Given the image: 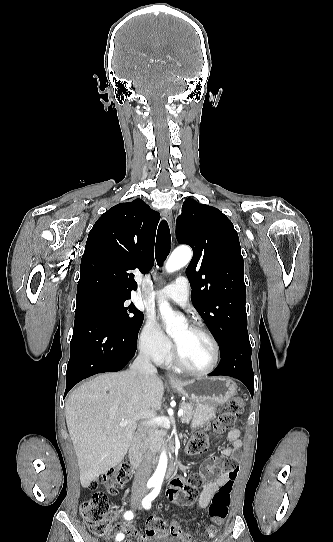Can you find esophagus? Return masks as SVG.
<instances>
[{
	"label": "esophagus",
	"instance_id": "esophagus-1",
	"mask_svg": "<svg viewBox=\"0 0 333 542\" xmlns=\"http://www.w3.org/2000/svg\"><path fill=\"white\" fill-rule=\"evenodd\" d=\"M162 215L163 217L167 220V222L169 223V225L172 224V220H173V214H172V211L170 209H165L163 212H162ZM167 378L169 380L170 383H176V382H179V379L177 377H175L174 375L170 374V373H167Z\"/></svg>",
	"mask_w": 333,
	"mask_h": 542
}]
</instances>
